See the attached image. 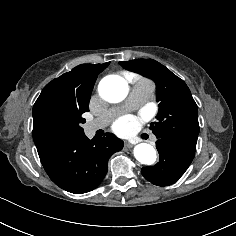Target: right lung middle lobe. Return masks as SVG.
Here are the masks:
<instances>
[{
    "instance_id": "obj_1",
    "label": "right lung middle lobe",
    "mask_w": 236,
    "mask_h": 236,
    "mask_svg": "<svg viewBox=\"0 0 236 236\" xmlns=\"http://www.w3.org/2000/svg\"><path fill=\"white\" fill-rule=\"evenodd\" d=\"M88 105L72 108L43 107L33 119V139L35 145L48 142L55 138H65L84 133L82 117L88 112Z\"/></svg>"
}]
</instances>
